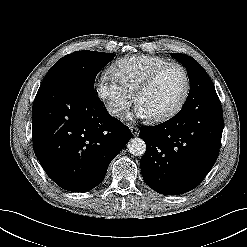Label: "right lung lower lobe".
Listing matches in <instances>:
<instances>
[{"label": "right lung lower lobe", "instance_id": "1", "mask_svg": "<svg viewBox=\"0 0 247 247\" xmlns=\"http://www.w3.org/2000/svg\"><path fill=\"white\" fill-rule=\"evenodd\" d=\"M32 135L46 174L73 192L101 183L132 137L127 126L107 113L94 89L77 79L40 86L32 107Z\"/></svg>", "mask_w": 247, "mask_h": 247}]
</instances>
